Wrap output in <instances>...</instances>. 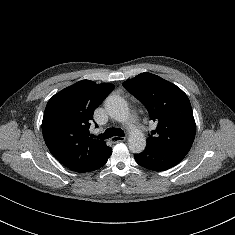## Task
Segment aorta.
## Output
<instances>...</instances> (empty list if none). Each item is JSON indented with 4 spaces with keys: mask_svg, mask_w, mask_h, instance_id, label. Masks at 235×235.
I'll list each match as a JSON object with an SVG mask.
<instances>
[{
    "mask_svg": "<svg viewBox=\"0 0 235 235\" xmlns=\"http://www.w3.org/2000/svg\"><path fill=\"white\" fill-rule=\"evenodd\" d=\"M108 115L114 120L126 124L129 120V109L126 102L117 95H110L104 103ZM146 146L144 134L135 128H130L128 147L133 153H141Z\"/></svg>",
    "mask_w": 235,
    "mask_h": 235,
    "instance_id": "aorta-1",
    "label": "aorta"
}]
</instances>
